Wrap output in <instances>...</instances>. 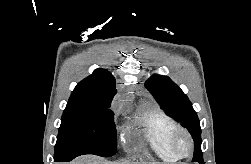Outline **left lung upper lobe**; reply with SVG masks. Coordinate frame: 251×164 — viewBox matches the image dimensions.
I'll return each mask as SVG.
<instances>
[{"instance_id": "5c2ea615", "label": "left lung upper lobe", "mask_w": 251, "mask_h": 164, "mask_svg": "<svg viewBox=\"0 0 251 164\" xmlns=\"http://www.w3.org/2000/svg\"><path fill=\"white\" fill-rule=\"evenodd\" d=\"M145 86L165 113L181 121L191 133L195 141L192 161L205 164L201 151L200 122L187 96L167 76L153 75L146 81Z\"/></svg>"}]
</instances>
